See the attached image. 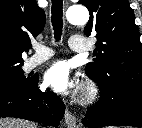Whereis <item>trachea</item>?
Wrapping results in <instances>:
<instances>
[{"mask_svg": "<svg viewBox=\"0 0 142 128\" xmlns=\"http://www.w3.org/2000/svg\"><path fill=\"white\" fill-rule=\"evenodd\" d=\"M51 22L54 30V37L57 41L61 39L63 28V0H52Z\"/></svg>", "mask_w": 142, "mask_h": 128, "instance_id": "obj_1", "label": "trachea"}]
</instances>
